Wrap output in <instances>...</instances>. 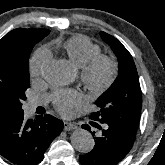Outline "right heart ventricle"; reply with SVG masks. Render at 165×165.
<instances>
[{
    "label": "right heart ventricle",
    "instance_id": "e07e8e85",
    "mask_svg": "<svg viewBox=\"0 0 165 165\" xmlns=\"http://www.w3.org/2000/svg\"><path fill=\"white\" fill-rule=\"evenodd\" d=\"M68 61L75 67L82 68L92 58L101 53L100 47L83 35H74L58 43Z\"/></svg>",
    "mask_w": 165,
    "mask_h": 165
}]
</instances>
